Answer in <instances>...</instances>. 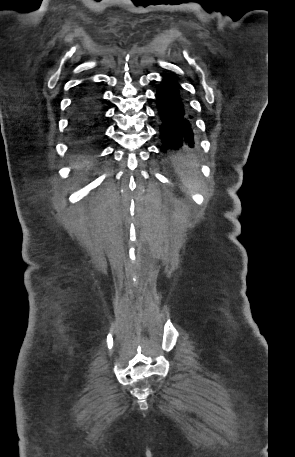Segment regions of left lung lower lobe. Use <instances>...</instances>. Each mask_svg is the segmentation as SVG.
I'll use <instances>...</instances> for the list:
<instances>
[{"instance_id":"obj_1","label":"left lung lower lobe","mask_w":295,"mask_h":457,"mask_svg":"<svg viewBox=\"0 0 295 457\" xmlns=\"http://www.w3.org/2000/svg\"><path fill=\"white\" fill-rule=\"evenodd\" d=\"M159 115V134L166 153L184 146L194 147L192 117L181 88L171 77L164 76L155 94Z\"/></svg>"}]
</instances>
